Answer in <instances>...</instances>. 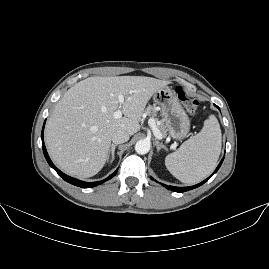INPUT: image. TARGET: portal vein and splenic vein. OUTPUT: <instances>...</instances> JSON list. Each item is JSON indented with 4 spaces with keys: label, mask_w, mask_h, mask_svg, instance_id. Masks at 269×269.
<instances>
[{
    "label": "portal vein and splenic vein",
    "mask_w": 269,
    "mask_h": 269,
    "mask_svg": "<svg viewBox=\"0 0 269 269\" xmlns=\"http://www.w3.org/2000/svg\"><path fill=\"white\" fill-rule=\"evenodd\" d=\"M119 105H120L119 108L114 113L115 118H121L123 115V113H122V106L124 105V97L123 96L119 97ZM147 125H148V127H150L152 129V132L157 139L162 138V134L160 133L159 129L155 126L156 122H155L154 117L148 118Z\"/></svg>",
    "instance_id": "obj_1"
}]
</instances>
